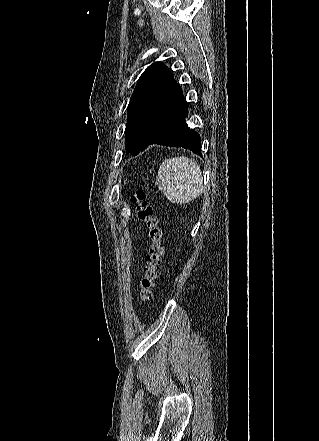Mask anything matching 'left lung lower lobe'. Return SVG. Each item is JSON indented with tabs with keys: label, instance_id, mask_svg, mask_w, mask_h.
<instances>
[{
	"label": "left lung lower lobe",
	"instance_id": "obj_1",
	"mask_svg": "<svg viewBox=\"0 0 319 441\" xmlns=\"http://www.w3.org/2000/svg\"><path fill=\"white\" fill-rule=\"evenodd\" d=\"M187 115L188 105L186 99H184L178 110L155 132L149 145L182 147L202 157L200 136L186 124L185 118Z\"/></svg>",
	"mask_w": 319,
	"mask_h": 441
}]
</instances>
